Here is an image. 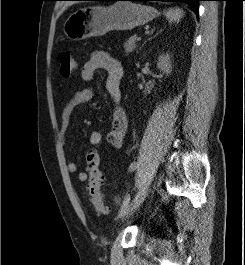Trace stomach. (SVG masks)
Wrapping results in <instances>:
<instances>
[{
  "label": "stomach",
  "mask_w": 245,
  "mask_h": 265,
  "mask_svg": "<svg viewBox=\"0 0 245 265\" xmlns=\"http://www.w3.org/2000/svg\"><path fill=\"white\" fill-rule=\"evenodd\" d=\"M155 8L132 2H116L110 6H87L73 12L64 23L65 35L79 41L102 36L112 30H132L154 19Z\"/></svg>",
  "instance_id": "1"
}]
</instances>
